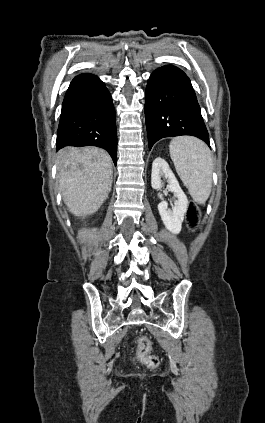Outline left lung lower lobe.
<instances>
[{
  "instance_id": "1",
  "label": "left lung lower lobe",
  "mask_w": 265,
  "mask_h": 423,
  "mask_svg": "<svg viewBox=\"0 0 265 423\" xmlns=\"http://www.w3.org/2000/svg\"><path fill=\"white\" fill-rule=\"evenodd\" d=\"M149 149L164 137L191 135L209 147V134L195 91L187 75L173 65L156 69L145 93Z\"/></svg>"
}]
</instances>
